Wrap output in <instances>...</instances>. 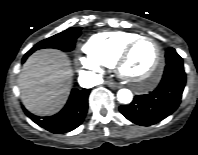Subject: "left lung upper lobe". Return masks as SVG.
Returning a JSON list of instances; mask_svg holds the SVG:
<instances>
[{
  "label": "left lung upper lobe",
  "instance_id": "1",
  "mask_svg": "<svg viewBox=\"0 0 198 155\" xmlns=\"http://www.w3.org/2000/svg\"><path fill=\"white\" fill-rule=\"evenodd\" d=\"M166 63H172V62H182V58L177 54L175 49L173 48H168L166 50Z\"/></svg>",
  "mask_w": 198,
  "mask_h": 155
}]
</instances>
